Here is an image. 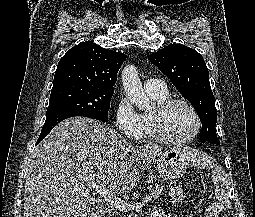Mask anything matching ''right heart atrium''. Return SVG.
Returning a JSON list of instances; mask_svg holds the SVG:
<instances>
[{"label":"right heart atrium","mask_w":255,"mask_h":217,"mask_svg":"<svg viewBox=\"0 0 255 217\" xmlns=\"http://www.w3.org/2000/svg\"><path fill=\"white\" fill-rule=\"evenodd\" d=\"M114 115L117 129L122 135L133 140L142 136L141 116L126 97L118 100Z\"/></svg>","instance_id":"1"}]
</instances>
